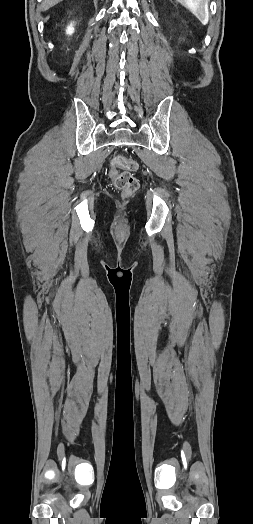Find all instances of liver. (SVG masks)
Here are the masks:
<instances>
[{
	"label": "liver",
	"instance_id": "1",
	"mask_svg": "<svg viewBox=\"0 0 253 524\" xmlns=\"http://www.w3.org/2000/svg\"><path fill=\"white\" fill-rule=\"evenodd\" d=\"M63 0H43L41 4V8L43 11L48 10L49 8L55 6L59 2H62Z\"/></svg>",
	"mask_w": 253,
	"mask_h": 524
}]
</instances>
